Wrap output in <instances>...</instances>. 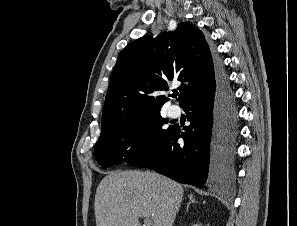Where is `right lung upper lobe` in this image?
I'll return each instance as SVG.
<instances>
[{
  "label": "right lung upper lobe",
  "mask_w": 297,
  "mask_h": 226,
  "mask_svg": "<svg viewBox=\"0 0 297 226\" xmlns=\"http://www.w3.org/2000/svg\"><path fill=\"white\" fill-rule=\"evenodd\" d=\"M173 79L181 105L192 95L207 90L215 80V61L202 32L180 23L174 32L130 43L119 54L105 98L102 126L131 116L160 110L169 99L159 95Z\"/></svg>",
  "instance_id": "right-lung-upper-lobe-1"
}]
</instances>
